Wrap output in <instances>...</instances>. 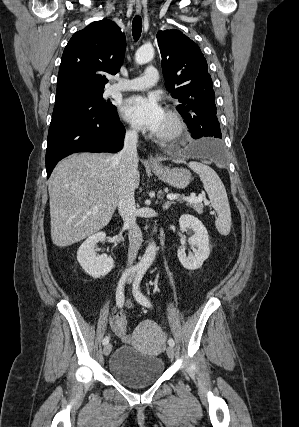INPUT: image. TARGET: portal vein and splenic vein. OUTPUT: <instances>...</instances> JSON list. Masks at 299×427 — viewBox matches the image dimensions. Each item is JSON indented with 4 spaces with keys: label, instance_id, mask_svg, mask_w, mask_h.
I'll return each instance as SVG.
<instances>
[{
    "label": "portal vein and splenic vein",
    "instance_id": "obj_1",
    "mask_svg": "<svg viewBox=\"0 0 299 427\" xmlns=\"http://www.w3.org/2000/svg\"><path fill=\"white\" fill-rule=\"evenodd\" d=\"M167 198L169 199V200H175V199H177L178 197L176 196V195H173V194H168L167 195ZM185 201H187V202H201L202 200H203V196L202 195H199L198 197H195V196H190V197H185V198H183Z\"/></svg>",
    "mask_w": 299,
    "mask_h": 427
}]
</instances>
